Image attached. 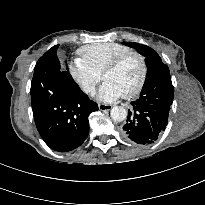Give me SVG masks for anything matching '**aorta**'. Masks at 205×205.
Segmentation results:
<instances>
[{
    "label": "aorta",
    "mask_w": 205,
    "mask_h": 205,
    "mask_svg": "<svg viewBox=\"0 0 205 205\" xmlns=\"http://www.w3.org/2000/svg\"><path fill=\"white\" fill-rule=\"evenodd\" d=\"M110 115L114 121L121 122L126 119L127 111L124 107L115 106L111 109Z\"/></svg>",
    "instance_id": "aorta-1"
}]
</instances>
